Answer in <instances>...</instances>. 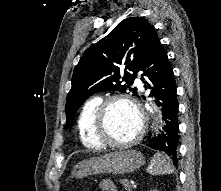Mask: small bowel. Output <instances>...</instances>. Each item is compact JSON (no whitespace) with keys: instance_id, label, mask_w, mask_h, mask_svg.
<instances>
[{"instance_id":"c3829d8e","label":"small bowel","mask_w":221,"mask_h":191,"mask_svg":"<svg viewBox=\"0 0 221 191\" xmlns=\"http://www.w3.org/2000/svg\"><path fill=\"white\" fill-rule=\"evenodd\" d=\"M99 189L101 191H118L115 184L110 180H103L99 183Z\"/></svg>"}]
</instances>
